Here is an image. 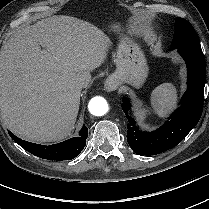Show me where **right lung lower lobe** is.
Masks as SVG:
<instances>
[{
	"instance_id": "1",
	"label": "right lung lower lobe",
	"mask_w": 209,
	"mask_h": 209,
	"mask_svg": "<svg viewBox=\"0 0 209 209\" xmlns=\"http://www.w3.org/2000/svg\"><path fill=\"white\" fill-rule=\"evenodd\" d=\"M88 129L83 126L79 137L68 139L64 142L44 146L21 140L13 133L9 132L11 138L31 154L47 160H71L75 158L85 147Z\"/></svg>"
}]
</instances>
